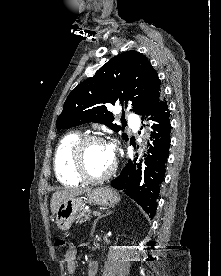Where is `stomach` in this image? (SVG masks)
Instances as JSON below:
<instances>
[{
  "label": "stomach",
  "mask_w": 221,
  "mask_h": 276,
  "mask_svg": "<svg viewBox=\"0 0 221 276\" xmlns=\"http://www.w3.org/2000/svg\"><path fill=\"white\" fill-rule=\"evenodd\" d=\"M84 199V200H83ZM120 197L116 191L109 187H98L87 192L85 197H70L60 203L56 212V223L60 230L70 229L76 216L84 207V201L99 205L113 206L117 204Z\"/></svg>",
  "instance_id": "0dacf381"
}]
</instances>
